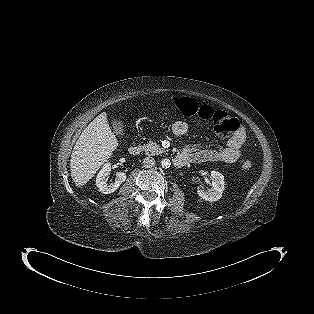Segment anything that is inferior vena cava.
I'll return each instance as SVG.
<instances>
[{"mask_svg": "<svg viewBox=\"0 0 314 314\" xmlns=\"http://www.w3.org/2000/svg\"><path fill=\"white\" fill-rule=\"evenodd\" d=\"M143 166L145 168H152L155 166V160L152 157H146L143 159Z\"/></svg>", "mask_w": 314, "mask_h": 314, "instance_id": "602c4592", "label": "inferior vena cava"}]
</instances>
